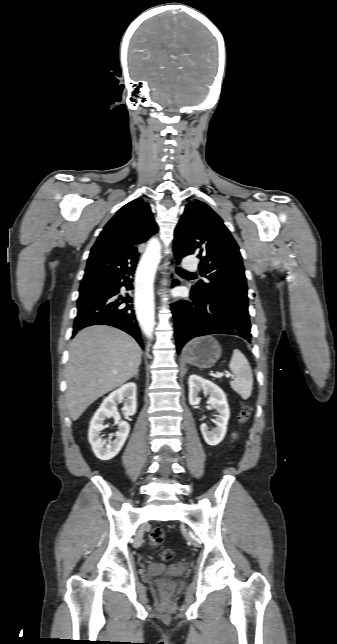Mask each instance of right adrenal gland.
I'll return each mask as SVG.
<instances>
[{
	"mask_svg": "<svg viewBox=\"0 0 337 644\" xmlns=\"http://www.w3.org/2000/svg\"><path fill=\"white\" fill-rule=\"evenodd\" d=\"M138 373H139V371L136 372V374L133 376V378H136L138 380Z\"/></svg>",
	"mask_w": 337,
	"mask_h": 644,
	"instance_id": "2a0ac1e0",
	"label": "right adrenal gland"
}]
</instances>
